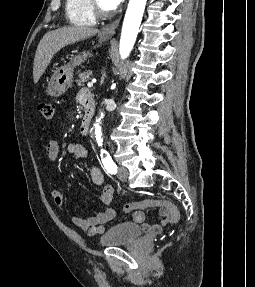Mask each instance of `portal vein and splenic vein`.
<instances>
[{"mask_svg":"<svg viewBox=\"0 0 255 287\" xmlns=\"http://www.w3.org/2000/svg\"><path fill=\"white\" fill-rule=\"evenodd\" d=\"M94 82H97V80H92V82H88L87 84L88 88H93Z\"/></svg>","mask_w":255,"mask_h":287,"instance_id":"1","label":"portal vein and splenic vein"}]
</instances>
